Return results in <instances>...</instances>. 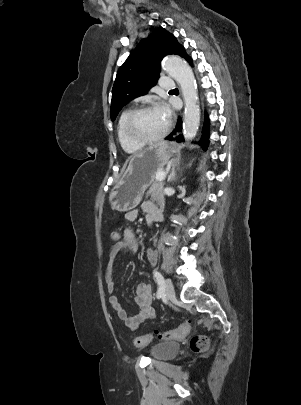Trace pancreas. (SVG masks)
Listing matches in <instances>:
<instances>
[{
  "mask_svg": "<svg viewBox=\"0 0 301 405\" xmlns=\"http://www.w3.org/2000/svg\"><path fill=\"white\" fill-rule=\"evenodd\" d=\"M161 171L162 169L157 171V173ZM147 196H150L151 200L156 202L159 206H164L165 199L163 194V183L160 181H156L148 190Z\"/></svg>",
  "mask_w": 301,
  "mask_h": 405,
  "instance_id": "obj_1",
  "label": "pancreas"
}]
</instances>
